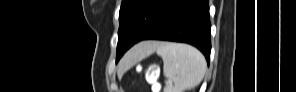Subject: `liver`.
I'll return each mask as SVG.
<instances>
[{
	"label": "liver",
	"mask_w": 296,
	"mask_h": 92,
	"mask_svg": "<svg viewBox=\"0 0 296 92\" xmlns=\"http://www.w3.org/2000/svg\"><path fill=\"white\" fill-rule=\"evenodd\" d=\"M154 48V42H143L131 51H129L123 58L120 65V72L123 69L133 66L137 61L143 58L149 51H152Z\"/></svg>",
	"instance_id": "1"
}]
</instances>
